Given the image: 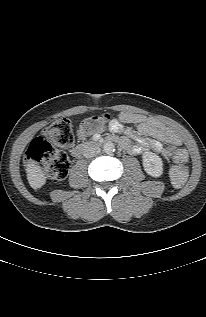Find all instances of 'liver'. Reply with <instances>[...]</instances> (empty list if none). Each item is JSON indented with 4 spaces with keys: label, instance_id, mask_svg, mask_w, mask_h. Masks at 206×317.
<instances>
[{
    "label": "liver",
    "instance_id": "obj_1",
    "mask_svg": "<svg viewBox=\"0 0 206 317\" xmlns=\"http://www.w3.org/2000/svg\"><path fill=\"white\" fill-rule=\"evenodd\" d=\"M27 180L33 189L41 188L46 183V177L41 167L34 161H28L26 165Z\"/></svg>",
    "mask_w": 206,
    "mask_h": 317
}]
</instances>
